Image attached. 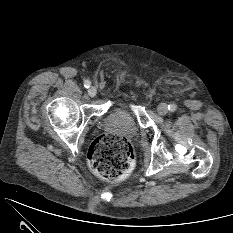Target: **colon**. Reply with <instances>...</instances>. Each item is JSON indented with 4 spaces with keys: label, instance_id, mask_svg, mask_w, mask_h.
<instances>
[{
    "label": "colon",
    "instance_id": "1",
    "mask_svg": "<svg viewBox=\"0 0 233 233\" xmlns=\"http://www.w3.org/2000/svg\"><path fill=\"white\" fill-rule=\"evenodd\" d=\"M133 163V148L124 136L105 133L97 137L89 147V167L103 180L123 178L130 172Z\"/></svg>",
    "mask_w": 233,
    "mask_h": 233
}]
</instances>
